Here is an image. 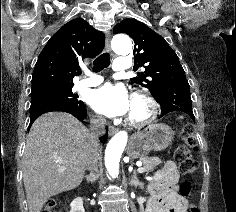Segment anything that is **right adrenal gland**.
<instances>
[{
    "mask_svg": "<svg viewBox=\"0 0 236 212\" xmlns=\"http://www.w3.org/2000/svg\"><path fill=\"white\" fill-rule=\"evenodd\" d=\"M85 179H86L87 183H94L96 181V178L95 177H91L90 175L89 176H85Z\"/></svg>",
    "mask_w": 236,
    "mask_h": 212,
    "instance_id": "2a0ac1e0",
    "label": "right adrenal gland"
}]
</instances>
